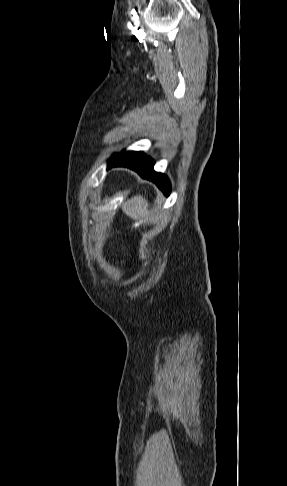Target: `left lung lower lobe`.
<instances>
[{"instance_id": "0a47b994", "label": "left lung lower lobe", "mask_w": 287, "mask_h": 486, "mask_svg": "<svg viewBox=\"0 0 287 486\" xmlns=\"http://www.w3.org/2000/svg\"><path fill=\"white\" fill-rule=\"evenodd\" d=\"M115 166H124L136 171L142 178L154 182L166 195H170V182L167 176L153 170L154 162L142 152H130L128 154L112 157L109 160L108 169Z\"/></svg>"}]
</instances>
